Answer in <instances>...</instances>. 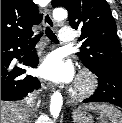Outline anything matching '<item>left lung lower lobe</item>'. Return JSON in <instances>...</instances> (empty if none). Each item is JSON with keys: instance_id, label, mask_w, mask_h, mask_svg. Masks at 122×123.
<instances>
[{"instance_id": "obj_1", "label": "left lung lower lobe", "mask_w": 122, "mask_h": 123, "mask_svg": "<svg viewBox=\"0 0 122 123\" xmlns=\"http://www.w3.org/2000/svg\"><path fill=\"white\" fill-rule=\"evenodd\" d=\"M92 72L98 77L99 85L83 102H108L122 108V68L107 67Z\"/></svg>"}]
</instances>
